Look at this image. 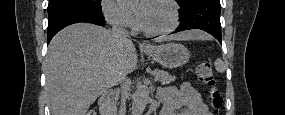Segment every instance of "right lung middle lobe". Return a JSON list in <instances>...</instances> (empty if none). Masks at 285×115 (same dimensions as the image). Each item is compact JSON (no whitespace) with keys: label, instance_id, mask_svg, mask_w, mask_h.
Wrapping results in <instances>:
<instances>
[{"label":"right lung middle lobe","instance_id":"dd1d6c3e","mask_svg":"<svg viewBox=\"0 0 285 115\" xmlns=\"http://www.w3.org/2000/svg\"><path fill=\"white\" fill-rule=\"evenodd\" d=\"M79 8L102 12L101 0H49L48 16L64 9Z\"/></svg>","mask_w":285,"mask_h":115}]
</instances>
